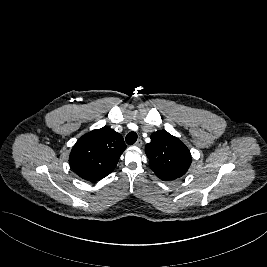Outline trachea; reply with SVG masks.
<instances>
[{"instance_id":"obj_1","label":"trachea","mask_w":267,"mask_h":267,"mask_svg":"<svg viewBox=\"0 0 267 267\" xmlns=\"http://www.w3.org/2000/svg\"><path fill=\"white\" fill-rule=\"evenodd\" d=\"M126 143L128 145H133L136 140H137V133L136 132H129L127 135H126Z\"/></svg>"}]
</instances>
